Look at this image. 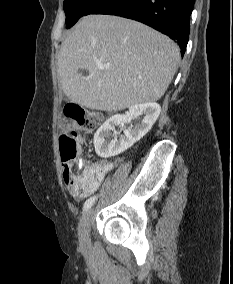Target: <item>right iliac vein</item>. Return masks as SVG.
Returning a JSON list of instances; mask_svg holds the SVG:
<instances>
[{"label": "right iliac vein", "mask_w": 233, "mask_h": 284, "mask_svg": "<svg viewBox=\"0 0 233 284\" xmlns=\"http://www.w3.org/2000/svg\"><path fill=\"white\" fill-rule=\"evenodd\" d=\"M91 214L92 210L86 211L79 223V240L83 248L89 244Z\"/></svg>", "instance_id": "right-iliac-vein-1"}]
</instances>
